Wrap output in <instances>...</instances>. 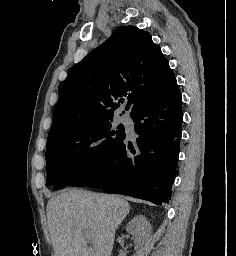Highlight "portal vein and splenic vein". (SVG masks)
<instances>
[{
    "mask_svg": "<svg viewBox=\"0 0 236 256\" xmlns=\"http://www.w3.org/2000/svg\"><path fill=\"white\" fill-rule=\"evenodd\" d=\"M84 238H86L87 242H89V240H91L87 230H84Z\"/></svg>",
    "mask_w": 236,
    "mask_h": 256,
    "instance_id": "18ae733b",
    "label": "portal vein and splenic vein"
}]
</instances>
